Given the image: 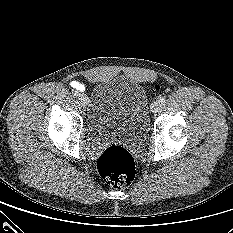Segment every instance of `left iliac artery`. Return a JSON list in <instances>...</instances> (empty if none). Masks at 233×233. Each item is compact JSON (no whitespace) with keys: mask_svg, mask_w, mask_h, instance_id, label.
Listing matches in <instances>:
<instances>
[{"mask_svg":"<svg viewBox=\"0 0 233 233\" xmlns=\"http://www.w3.org/2000/svg\"><path fill=\"white\" fill-rule=\"evenodd\" d=\"M159 101L161 102V104H163L166 101V97L164 95H160Z\"/></svg>","mask_w":233,"mask_h":233,"instance_id":"left-iliac-artery-1","label":"left iliac artery"}]
</instances>
